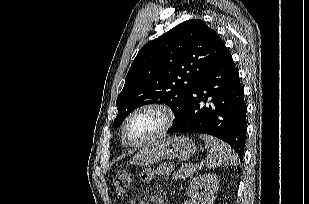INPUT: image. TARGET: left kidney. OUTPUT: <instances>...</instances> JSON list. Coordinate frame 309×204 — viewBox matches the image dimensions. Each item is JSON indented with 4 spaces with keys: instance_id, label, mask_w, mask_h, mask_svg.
<instances>
[{
    "instance_id": "5707ae66",
    "label": "left kidney",
    "mask_w": 309,
    "mask_h": 204,
    "mask_svg": "<svg viewBox=\"0 0 309 204\" xmlns=\"http://www.w3.org/2000/svg\"><path fill=\"white\" fill-rule=\"evenodd\" d=\"M220 177L215 174H204L194 178L187 191V196L198 199L201 204H214L219 188ZM203 189V191H199Z\"/></svg>"
}]
</instances>
